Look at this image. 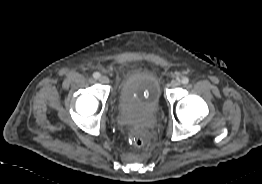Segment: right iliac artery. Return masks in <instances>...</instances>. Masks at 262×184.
<instances>
[{
    "mask_svg": "<svg viewBox=\"0 0 262 184\" xmlns=\"http://www.w3.org/2000/svg\"><path fill=\"white\" fill-rule=\"evenodd\" d=\"M93 77H94L95 79H98V78L100 77V74H99L98 72H95V73L93 74Z\"/></svg>",
    "mask_w": 262,
    "mask_h": 184,
    "instance_id": "1",
    "label": "right iliac artery"
}]
</instances>
